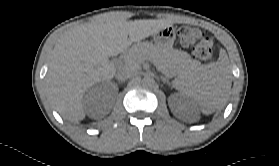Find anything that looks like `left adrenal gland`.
I'll return each mask as SVG.
<instances>
[{"label":"left adrenal gland","mask_w":279,"mask_h":166,"mask_svg":"<svg viewBox=\"0 0 279 166\" xmlns=\"http://www.w3.org/2000/svg\"><path fill=\"white\" fill-rule=\"evenodd\" d=\"M162 81H163V83L170 84L167 77H162Z\"/></svg>","instance_id":"obj_1"}]
</instances>
